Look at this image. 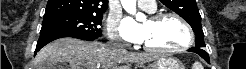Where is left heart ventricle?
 <instances>
[{"instance_id":"obj_1","label":"left heart ventricle","mask_w":246,"mask_h":69,"mask_svg":"<svg viewBox=\"0 0 246 69\" xmlns=\"http://www.w3.org/2000/svg\"><path fill=\"white\" fill-rule=\"evenodd\" d=\"M143 42L160 49L176 48L186 41V32L175 19L167 18L160 21L147 20L143 23Z\"/></svg>"}]
</instances>
